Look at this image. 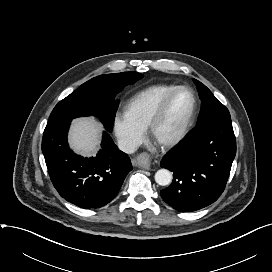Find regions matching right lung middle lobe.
<instances>
[{"mask_svg": "<svg viewBox=\"0 0 272 272\" xmlns=\"http://www.w3.org/2000/svg\"><path fill=\"white\" fill-rule=\"evenodd\" d=\"M143 77L138 72L100 75L82 84L53 109L48 125L81 116L101 117L105 128L112 131L119 100L115 97L127 85Z\"/></svg>", "mask_w": 272, "mask_h": 272, "instance_id": "right-lung-middle-lobe-1", "label": "right lung middle lobe"}]
</instances>
